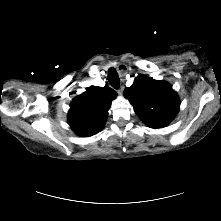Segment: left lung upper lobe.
I'll return each mask as SVG.
<instances>
[{"label":"left lung upper lobe","mask_w":221,"mask_h":221,"mask_svg":"<svg viewBox=\"0 0 221 221\" xmlns=\"http://www.w3.org/2000/svg\"><path fill=\"white\" fill-rule=\"evenodd\" d=\"M139 118L151 128L165 127L179 111V98L171 85L146 76H138L124 90Z\"/></svg>","instance_id":"obj_1"}]
</instances>
